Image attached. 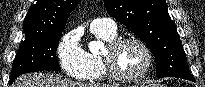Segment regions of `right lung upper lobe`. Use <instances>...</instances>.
Returning a JSON list of instances; mask_svg holds the SVG:
<instances>
[{"label":"right lung upper lobe","instance_id":"1","mask_svg":"<svg viewBox=\"0 0 205 87\" xmlns=\"http://www.w3.org/2000/svg\"><path fill=\"white\" fill-rule=\"evenodd\" d=\"M80 0H38L23 22L26 35L50 34L63 31L70 12Z\"/></svg>","mask_w":205,"mask_h":87}]
</instances>
